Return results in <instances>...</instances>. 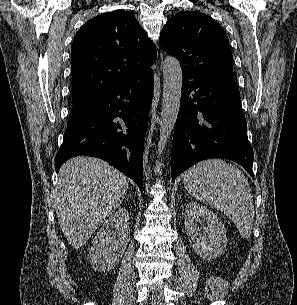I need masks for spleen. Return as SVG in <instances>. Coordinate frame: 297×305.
I'll list each match as a JSON object with an SVG mask.
<instances>
[{"label":"spleen","mask_w":297,"mask_h":305,"mask_svg":"<svg viewBox=\"0 0 297 305\" xmlns=\"http://www.w3.org/2000/svg\"><path fill=\"white\" fill-rule=\"evenodd\" d=\"M187 191L197 200L220 210L243 238H250L254 222L253 195L245 175L223 160H205L184 174Z\"/></svg>","instance_id":"3e777b00"}]
</instances>
